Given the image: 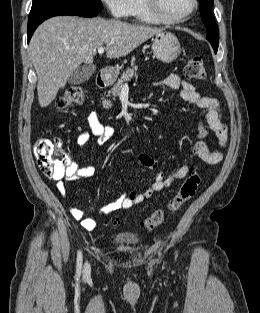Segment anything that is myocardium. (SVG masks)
Listing matches in <instances>:
<instances>
[{"mask_svg": "<svg viewBox=\"0 0 260 313\" xmlns=\"http://www.w3.org/2000/svg\"><path fill=\"white\" fill-rule=\"evenodd\" d=\"M143 5L150 15V17L157 23L162 24H179L187 20L191 15H193L198 9V0H192L191 8L179 17L169 18L164 16L160 11V1L159 0H142Z\"/></svg>", "mask_w": 260, "mask_h": 313, "instance_id": "1", "label": "myocardium"}]
</instances>
